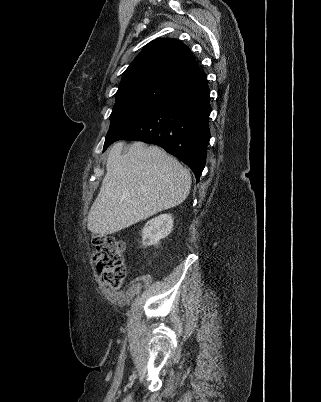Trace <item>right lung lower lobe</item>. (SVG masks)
<instances>
[{"mask_svg":"<svg viewBox=\"0 0 321 402\" xmlns=\"http://www.w3.org/2000/svg\"><path fill=\"white\" fill-rule=\"evenodd\" d=\"M209 94L204 72L183 79L160 103L104 144V150L121 139L159 145L188 165L198 182L210 140Z\"/></svg>","mask_w":321,"mask_h":402,"instance_id":"1","label":"right lung lower lobe"}]
</instances>
